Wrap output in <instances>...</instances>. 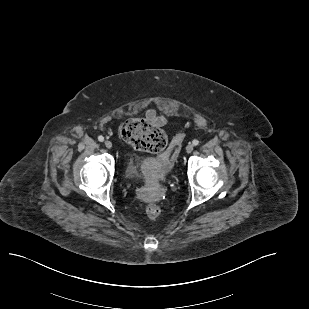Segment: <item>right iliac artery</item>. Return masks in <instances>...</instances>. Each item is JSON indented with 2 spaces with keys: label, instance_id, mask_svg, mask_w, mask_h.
<instances>
[{
  "label": "right iliac artery",
  "instance_id": "82829eb1",
  "mask_svg": "<svg viewBox=\"0 0 309 309\" xmlns=\"http://www.w3.org/2000/svg\"><path fill=\"white\" fill-rule=\"evenodd\" d=\"M98 140H99L100 142H103V141H104V137H103V136H99V137H98Z\"/></svg>",
  "mask_w": 309,
  "mask_h": 309
}]
</instances>
